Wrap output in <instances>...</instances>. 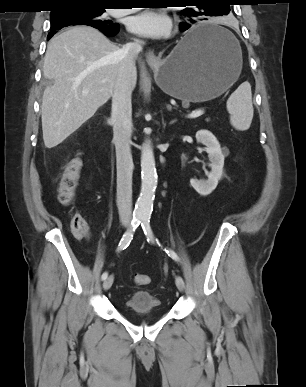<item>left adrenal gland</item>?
Listing matches in <instances>:
<instances>
[{
    "label": "left adrenal gland",
    "mask_w": 306,
    "mask_h": 387,
    "mask_svg": "<svg viewBox=\"0 0 306 387\" xmlns=\"http://www.w3.org/2000/svg\"><path fill=\"white\" fill-rule=\"evenodd\" d=\"M176 121H177L176 119L171 120L170 123H169V125H172V124L176 123Z\"/></svg>",
    "instance_id": "obj_1"
}]
</instances>
